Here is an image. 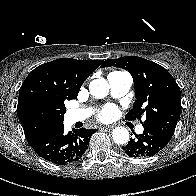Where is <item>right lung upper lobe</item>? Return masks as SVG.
Returning a JSON list of instances; mask_svg holds the SVG:
<instances>
[{
    "label": "right lung upper lobe",
    "instance_id": "cb5924a9",
    "mask_svg": "<svg viewBox=\"0 0 196 196\" xmlns=\"http://www.w3.org/2000/svg\"><path fill=\"white\" fill-rule=\"evenodd\" d=\"M102 62L61 58L30 72L19 90L17 105L29 143L63 124L62 104L76 99L84 81Z\"/></svg>",
    "mask_w": 196,
    "mask_h": 196
}]
</instances>
